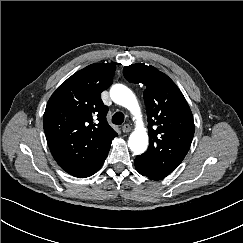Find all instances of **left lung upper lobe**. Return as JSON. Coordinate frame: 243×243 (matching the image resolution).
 I'll return each instance as SVG.
<instances>
[{"label":"left lung upper lobe","mask_w":243,"mask_h":243,"mask_svg":"<svg viewBox=\"0 0 243 243\" xmlns=\"http://www.w3.org/2000/svg\"><path fill=\"white\" fill-rule=\"evenodd\" d=\"M123 74L129 82L146 86L143 97L150 143L136 160L169 174L191 146L195 126L190 107L176 84L153 66L132 64L124 67Z\"/></svg>","instance_id":"left-lung-upper-lobe-1"}]
</instances>
